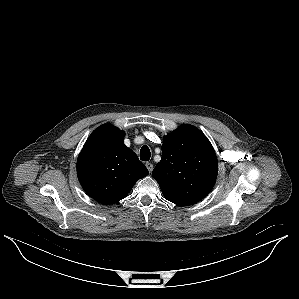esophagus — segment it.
<instances>
[{"label":"esophagus","instance_id":"esophagus-1","mask_svg":"<svg viewBox=\"0 0 299 299\" xmlns=\"http://www.w3.org/2000/svg\"><path fill=\"white\" fill-rule=\"evenodd\" d=\"M145 166L147 167V169H148L149 173H151V172H152V170H153V164H152V163H150V162H147V163L145 164Z\"/></svg>","mask_w":299,"mask_h":299}]
</instances>
